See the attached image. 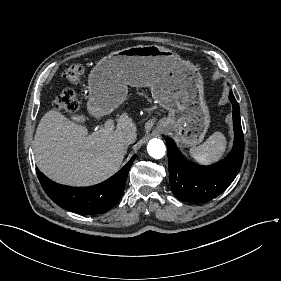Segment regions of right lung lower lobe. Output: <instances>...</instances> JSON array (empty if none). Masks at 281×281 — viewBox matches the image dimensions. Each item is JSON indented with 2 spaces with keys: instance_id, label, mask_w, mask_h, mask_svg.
Segmentation results:
<instances>
[{
  "instance_id": "right-lung-lower-lobe-1",
  "label": "right lung lower lobe",
  "mask_w": 281,
  "mask_h": 281,
  "mask_svg": "<svg viewBox=\"0 0 281 281\" xmlns=\"http://www.w3.org/2000/svg\"><path fill=\"white\" fill-rule=\"evenodd\" d=\"M134 159L135 156L105 182L85 189L57 186L48 181L38 170L37 175L47 195L60 207L80 214H101L110 210L122 197Z\"/></svg>"
}]
</instances>
